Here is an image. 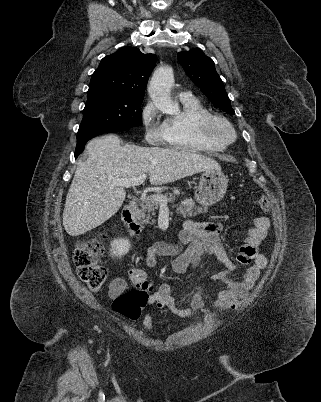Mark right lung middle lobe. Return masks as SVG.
<instances>
[{"label": "right lung middle lobe", "mask_w": 321, "mask_h": 402, "mask_svg": "<svg viewBox=\"0 0 321 402\" xmlns=\"http://www.w3.org/2000/svg\"><path fill=\"white\" fill-rule=\"evenodd\" d=\"M142 101L141 98H130L106 91H88L77 135L140 126Z\"/></svg>", "instance_id": "dd1d6c3e"}]
</instances>
